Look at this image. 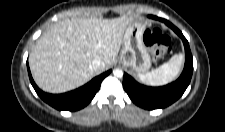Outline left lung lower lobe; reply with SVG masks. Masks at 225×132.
<instances>
[{"label": "left lung lower lobe", "mask_w": 225, "mask_h": 132, "mask_svg": "<svg viewBox=\"0 0 225 132\" xmlns=\"http://www.w3.org/2000/svg\"><path fill=\"white\" fill-rule=\"evenodd\" d=\"M150 18L164 22L169 26L183 41L185 47V66L181 76L175 81L162 87H147L136 82L130 75L124 73L123 87L131 100L138 106L153 110L165 108L178 100L186 88L188 87L192 73L193 60L188 41L183 36L182 32L169 21L149 16Z\"/></svg>", "instance_id": "obj_1"}]
</instances>
